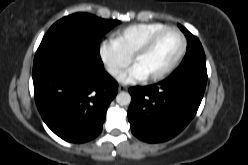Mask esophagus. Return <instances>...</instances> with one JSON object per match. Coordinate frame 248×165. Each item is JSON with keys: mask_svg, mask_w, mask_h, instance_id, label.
Returning a JSON list of instances; mask_svg holds the SVG:
<instances>
[{"mask_svg": "<svg viewBox=\"0 0 248 165\" xmlns=\"http://www.w3.org/2000/svg\"><path fill=\"white\" fill-rule=\"evenodd\" d=\"M118 90H119V91H125V90H127V87L124 86V85H120V86L118 87Z\"/></svg>", "mask_w": 248, "mask_h": 165, "instance_id": "obj_1", "label": "esophagus"}]
</instances>
